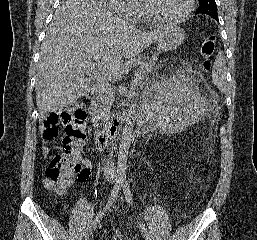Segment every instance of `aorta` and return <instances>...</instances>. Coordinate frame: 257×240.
<instances>
[{"label":"aorta","instance_id":"1","mask_svg":"<svg viewBox=\"0 0 257 240\" xmlns=\"http://www.w3.org/2000/svg\"><path fill=\"white\" fill-rule=\"evenodd\" d=\"M133 129V121L128 120L122 133L117 161L118 179L121 181L126 177L128 150L132 139Z\"/></svg>","mask_w":257,"mask_h":240}]
</instances>
